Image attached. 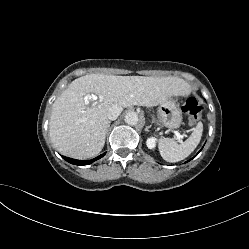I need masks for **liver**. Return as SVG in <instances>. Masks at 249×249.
I'll list each match as a JSON object with an SVG mask.
<instances>
[{
	"instance_id": "1",
	"label": "liver",
	"mask_w": 249,
	"mask_h": 249,
	"mask_svg": "<svg viewBox=\"0 0 249 249\" xmlns=\"http://www.w3.org/2000/svg\"><path fill=\"white\" fill-rule=\"evenodd\" d=\"M188 90V83L177 77H79L52 105L51 140L62 155L76 159L95 157L105 144L110 107L156 106L172 96L185 95Z\"/></svg>"
}]
</instances>
